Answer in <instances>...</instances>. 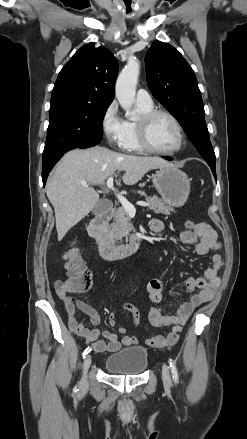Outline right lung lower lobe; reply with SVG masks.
<instances>
[{"label":"right lung lower lobe","mask_w":247,"mask_h":439,"mask_svg":"<svg viewBox=\"0 0 247 439\" xmlns=\"http://www.w3.org/2000/svg\"><path fill=\"white\" fill-rule=\"evenodd\" d=\"M62 152L59 153L57 155H54L52 157L47 158L46 160L43 161V165H42V180H43V185L45 186L47 177L49 172L51 171L52 167L56 164V162L66 153Z\"/></svg>","instance_id":"1"}]
</instances>
